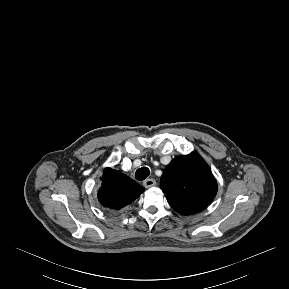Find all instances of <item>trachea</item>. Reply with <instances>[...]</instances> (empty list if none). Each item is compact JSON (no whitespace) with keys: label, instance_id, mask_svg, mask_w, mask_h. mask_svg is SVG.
Wrapping results in <instances>:
<instances>
[{"label":"trachea","instance_id":"trachea-1","mask_svg":"<svg viewBox=\"0 0 289 289\" xmlns=\"http://www.w3.org/2000/svg\"><path fill=\"white\" fill-rule=\"evenodd\" d=\"M149 173L150 171L147 167H142L136 171L135 178L139 181H143L149 176Z\"/></svg>","mask_w":289,"mask_h":289}]
</instances>
